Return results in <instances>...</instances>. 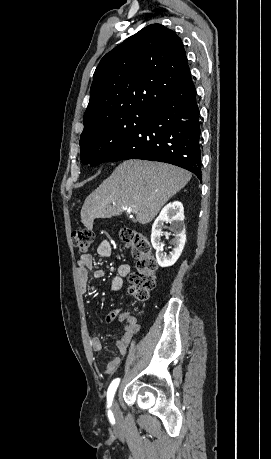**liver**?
<instances>
[{"label":"liver","mask_w":271,"mask_h":459,"mask_svg":"<svg viewBox=\"0 0 271 459\" xmlns=\"http://www.w3.org/2000/svg\"><path fill=\"white\" fill-rule=\"evenodd\" d=\"M189 180L190 172L170 164L126 160L86 198L81 222L93 229L95 218L120 216L123 208H132L139 224H149Z\"/></svg>","instance_id":"obj_1"}]
</instances>
